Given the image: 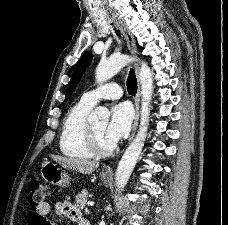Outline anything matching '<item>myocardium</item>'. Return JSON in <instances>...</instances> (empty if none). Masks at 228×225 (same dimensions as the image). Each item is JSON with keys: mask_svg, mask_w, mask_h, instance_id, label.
<instances>
[{"mask_svg": "<svg viewBox=\"0 0 228 225\" xmlns=\"http://www.w3.org/2000/svg\"><path fill=\"white\" fill-rule=\"evenodd\" d=\"M89 141L93 150L99 155L110 154L117 148V145L114 142H104L93 125L89 126Z\"/></svg>", "mask_w": 228, "mask_h": 225, "instance_id": "myocardium-1", "label": "myocardium"}]
</instances>
